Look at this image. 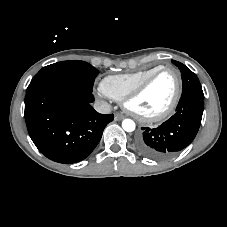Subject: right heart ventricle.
Listing matches in <instances>:
<instances>
[{"label":"right heart ventricle","instance_id":"1","mask_svg":"<svg viewBox=\"0 0 227 227\" xmlns=\"http://www.w3.org/2000/svg\"><path fill=\"white\" fill-rule=\"evenodd\" d=\"M162 67L154 66L131 73L108 75L101 80L100 89L103 94L114 100H123L134 87Z\"/></svg>","mask_w":227,"mask_h":227}]
</instances>
